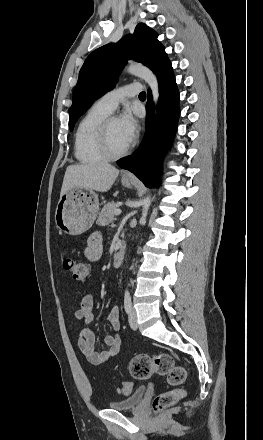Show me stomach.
I'll use <instances>...</instances> for the list:
<instances>
[{
	"instance_id": "0dacf381",
	"label": "stomach",
	"mask_w": 263,
	"mask_h": 440,
	"mask_svg": "<svg viewBox=\"0 0 263 440\" xmlns=\"http://www.w3.org/2000/svg\"><path fill=\"white\" fill-rule=\"evenodd\" d=\"M125 187H131L132 181L122 179ZM99 212V199L94 191L79 187L71 188L60 196L55 222L60 231L69 235H80L94 223Z\"/></svg>"
}]
</instances>
